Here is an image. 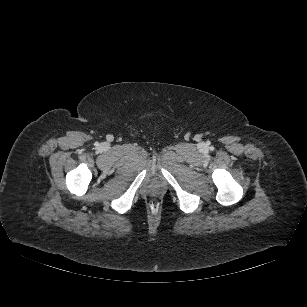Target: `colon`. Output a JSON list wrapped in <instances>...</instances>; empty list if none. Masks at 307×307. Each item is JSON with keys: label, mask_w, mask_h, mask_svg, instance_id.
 Wrapping results in <instances>:
<instances>
[{"label": "colon", "mask_w": 307, "mask_h": 307, "mask_svg": "<svg viewBox=\"0 0 307 307\" xmlns=\"http://www.w3.org/2000/svg\"><path fill=\"white\" fill-rule=\"evenodd\" d=\"M159 207V204L157 201H152L151 202V208L154 209V210H157Z\"/></svg>", "instance_id": "1"}]
</instances>
